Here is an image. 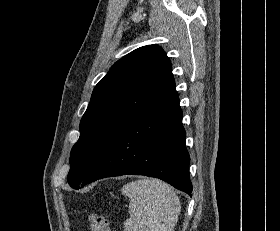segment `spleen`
<instances>
[{"label": "spleen", "mask_w": 280, "mask_h": 231, "mask_svg": "<svg viewBox=\"0 0 280 231\" xmlns=\"http://www.w3.org/2000/svg\"><path fill=\"white\" fill-rule=\"evenodd\" d=\"M130 199L125 231H173L181 211L173 187L161 179H137L121 189Z\"/></svg>", "instance_id": "1"}]
</instances>
